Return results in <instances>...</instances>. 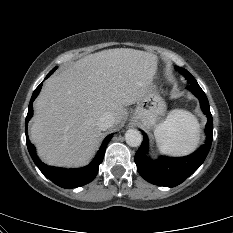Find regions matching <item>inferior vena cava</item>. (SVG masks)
I'll return each mask as SVG.
<instances>
[{
    "mask_svg": "<svg viewBox=\"0 0 233 233\" xmlns=\"http://www.w3.org/2000/svg\"><path fill=\"white\" fill-rule=\"evenodd\" d=\"M114 121V116L111 113L106 112L98 119L97 126L100 130L104 131L110 128L114 124Z\"/></svg>",
    "mask_w": 233,
    "mask_h": 233,
    "instance_id": "inferior-vena-cava-1",
    "label": "inferior vena cava"
}]
</instances>
